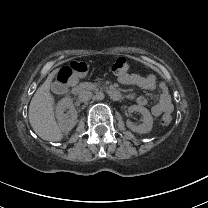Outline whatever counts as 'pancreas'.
<instances>
[{"label":"pancreas","instance_id":"1","mask_svg":"<svg viewBox=\"0 0 208 208\" xmlns=\"http://www.w3.org/2000/svg\"><path fill=\"white\" fill-rule=\"evenodd\" d=\"M79 90L90 89L91 91H103L105 87L100 86L98 83L81 82L77 85Z\"/></svg>","mask_w":208,"mask_h":208}]
</instances>
